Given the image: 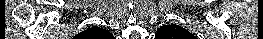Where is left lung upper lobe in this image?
<instances>
[{"label":"left lung upper lobe","instance_id":"5c2ea615","mask_svg":"<svg viewBox=\"0 0 263 39\" xmlns=\"http://www.w3.org/2000/svg\"><path fill=\"white\" fill-rule=\"evenodd\" d=\"M155 39H196L193 34H191L185 28L172 24L163 25L158 30Z\"/></svg>","mask_w":263,"mask_h":39}]
</instances>
